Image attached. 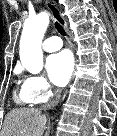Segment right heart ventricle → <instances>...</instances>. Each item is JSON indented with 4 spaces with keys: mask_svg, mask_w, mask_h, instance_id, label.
Returning <instances> with one entry per match:
<instances>
[{
    "mask_svg": "<svg viewBox=\"0 0 117 136\" xmlns=\"http://www.w3.org/2000/svg\"><path fill=\"white\" fill-rule=\"evenodd\" d=\"M15 100L20 105H30L32 102L30 101L28 95L26 94L24 87H21L16 93H15Z\"/></svg>",
    "mask_w": 117,
    "mask_h": 136,
    "instance_id": "right-heart-ventricle-1",
    "label": "right heart ventricle"
}]
</instances>
